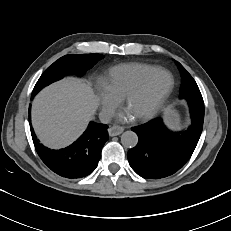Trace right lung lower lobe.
<instances>
[{
  "mask_svg": "<svg viewBox=\"0 0 231 231\" xmlns=\"http://www.w3.org/2000/svg\"><path fill=\"white\" fill-rule=\"evenodd\" d=\"M29 107V120H30ZM31 123V122H30ZM31 128L35 149L42 161L56 174L76 179L89 175L98 165L101 149L108 140V126L90 122L87 130L72 145L61 150H50L40 144Z\"/></svg>",
  "mask_w": 231,
  "mask_h": 231,
  "instance_id": "1",
  "label": "right lung lower lobe"
}]
</instances>
